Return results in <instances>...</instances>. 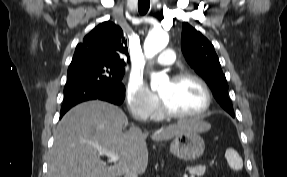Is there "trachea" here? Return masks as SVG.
<instances>
[{
  "mask_svg": "<svg viewBox=\"0 0 287 177\" xmlns=\"http://www.w3.org/2000/svg\"><path fill=\"white\" fill-rule=\"evenodd\" d=\"M150 7V0H138V10L141 15H145Z\"/></svg>",
  "mask_w": 287,
  "mask_h": 177,
  "instance_id": "obj_1",
  "label": "trachea"
}]
</instances>
